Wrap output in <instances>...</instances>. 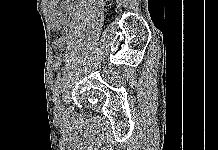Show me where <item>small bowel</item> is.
<instances>
[{
  "label": "small bowel",
  "mask_w": 218,
  "mask_h": 150,
  "mask_svg": "<svg viewBox=\"0 0 218 150\" xmlns=\"http://www.w3.org/2000/svg\"><path fill=\"white\" fill-rule=\"evenodd\" d=\"M52 28L57 30L68 24L74 14L73 0H62L61 6L58 7L59 0H48Z\"/></svg>",
  "instance_id": "obj_1"
}]
</instances>
